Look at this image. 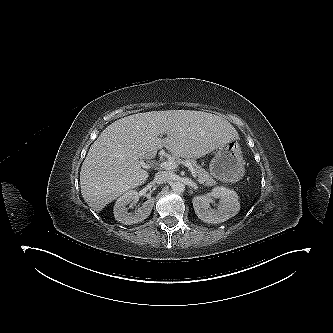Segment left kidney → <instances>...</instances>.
<instances>
[{"label":"left kidney","mask_w":333,"mask_h":333,"mask_svg":"<svg viewBox=\"0 0 333 333\" xmlns=\"http://www.w3.org/2000/svg\"><path fill=\"white\" fill-rule=\"evenodd\" d=\"M213 198L219 199L217 209L210 207ZM192 203L198 218L211 224L224 222L235 216L240 210L237 193L225 187H215L207 194L195 196Z\"/></svg>","instance_id":"left-kidney-1"}]
</instances>
